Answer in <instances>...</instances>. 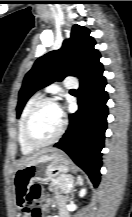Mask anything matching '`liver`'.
Returning a JSON list of instances; mask_svg holds the SVG:
<instances>
[{
  "label": "liver",
  "mask_w": 132,
  "mask_h": 217,
  "mask_svg": "<svg viewBox=\"0 0 132 217\" xmlns=\"http://www.w3.org/2000/svg\"><path fill=\"white\" fill-rule=\"evenodd\" d=\"M57 150L56 149H45V150H42L40 152H37L31 156H27V157H24L22 158L21 160L18 161L17 163V168L26 164L27 162L37 158L38 156L40 155H43V154H47V153H53V152H56Z\"/></svg>",
  "instance_id": "6515ba94"
}]
</instances>
